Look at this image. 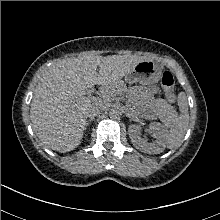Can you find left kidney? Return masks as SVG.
<instances>
[{
  "label": "left kidney",
  "instance_id": "1",
  "mask_svg": "<svg viewBox=\"0 0 220 220\" xmlns=\"http://www.w3.org/2000/svg\"><path fill=\"white\" fill-rule=\"evenodd\" d=\"M149 127L153 132V136L156 139L155 141L148 143L145 139L141 138V127L136 124H132L128 128L130 139L133 145L141 151L148 154H159L163 152L165 148L167 129L158 122L150 123Z\"/></svg>",
  "mask_w": 220,
  "mask_h": 220
}]
</instances>
